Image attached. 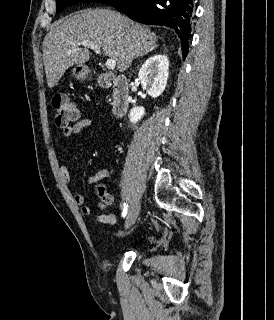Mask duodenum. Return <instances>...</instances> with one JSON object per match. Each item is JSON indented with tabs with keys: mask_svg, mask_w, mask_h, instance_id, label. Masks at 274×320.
<instances>
[{
	"mask_svg": "<svg viewBox=\"0 0 274 320\" xmlns=\"http://www.w3.org/2000/svg\"><path fill=\"white\" fill-rule=\"evenodd\" d=\"M97 80L101 88L112 89V113L115 116L123 115L130 103L129 80L123 76L110 78L103 74L97 75Z\"/></svg>",
	"mask_w": 274,
	"mask_h": 320,
	"instance_id": "410a0bca",
	"label": "duodenum"
}]
</instances>
